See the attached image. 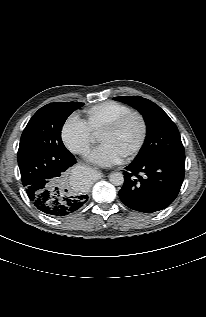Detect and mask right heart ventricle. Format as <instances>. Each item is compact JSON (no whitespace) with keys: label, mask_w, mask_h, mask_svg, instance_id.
Instances as JSON below:
<instances>
[{"label":"right heart ventricle","mask_w":206,"mask_h":317,"mask_svg":"<svg viewBox=\"0 0 206 317\" xmlns=\"http://www.w3.org/2000/svg\"><path fill=\"white\" fill-rule=\"evenodd\" d=\"M131 111V108L117 101H105L84 110V121L94 133H99L112 120Z\"/></svg>","instance_id":"e07e8e85"}]
</instances>
